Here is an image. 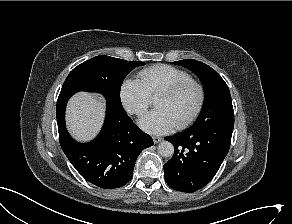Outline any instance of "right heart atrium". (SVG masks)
I'll list each match as a JSON object with an SVG mask.
<instances>
[{
    "label": "right heart atrium",
    "mask_w": 292,
    "mask_h": 224,
    "mask_svg": "<svg viewBox=\"0 0 292 224\" xmlns=\"http://www.w3.org/2000/svg\"><path fill=\"white\" fill-rule=\"evenodd\" d=\"M119 95L124 109L131 115H142L151 104V97L137 79L125 80L121 84Z\"/></svg>",
    "instance_id": "1"
}]
</instances>
